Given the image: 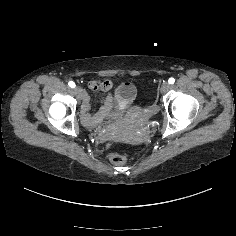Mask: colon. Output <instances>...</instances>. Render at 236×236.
<instances>
[{"label": "colon", "instance_id": "5ec220e1", "mask_svg": "<svg viewBox=\"0 0 236 236\" xmlns=\"http://www.w3.org/2000/svg\"><path fill=\"white\" fill-rule=\"evenodd\" d=\"M126 160V157L122 154L115 153L111 155V161L116 165H123L126 163Z\"/></svg>", "mask_w": 236, "mask_h": 236}]
</instances>
